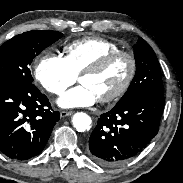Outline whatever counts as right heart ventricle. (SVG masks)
Segmentation results:
<instances>
[{
  "instance_id": "right-heart-ventricle-1",
  "label": "right heart ventricle",
  "mask_w": 183,
  "mask_h": 183,
  "mask_svg": "<svg viewBox=\"0 0 183 183\" xmlns=\"http://www.w3.org/2000/svg\"><path fill=\"white\" fill-rule=\"evenodd\" d=\"M119 50L113 41L101 37H87L64 47V59L71 71L78 76L83 70L105 55Z\"/></svg>"
}]
</instances>
